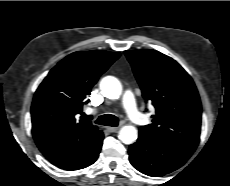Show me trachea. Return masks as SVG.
Instances as JSON below:
<instances>
[{"label": "trachea", "mask_w": 230, "mask_h": 186, "mask_svg": "<svg viewBox=\"0 0 230 186\" xmlns=\"http://www.w3.org/2000/svg\"><path fill=\"white\" fill-rule=\"evenodd\" d=\"M95 123L105 126L116 127L118 125V118L111 114H104L102 116H99Z\"/></svg>", "instance_id": "1"}]
</instances>
